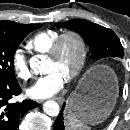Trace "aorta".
I'll return each instance as SVG.
<instances>
[{
    "label": "aorta",
    "instance_id": "1",
    "mask_svg": "<svg viewBox=\"0 0 130 130\" xmlns=\"http://www.w3.org/2000/svg\"><path fill=\"white\" fill-rule=\"evenodd\" d=\"M30 67L35 73H46L47 70L45 68V58L42 55H35L31 57L30 61ZM43 111L52 117L58 116L60 112V107L57 102L53 100H48L43 104Z\"/></svg>",
    "mask_w": 130,
    "mask_h": 130
}]
</instances>
